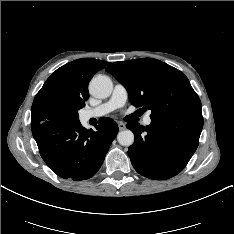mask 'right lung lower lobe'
Returning <instances> with one entry per match:
<instances>
[{
  "label": "right lung lower lobe",
  "instance_id": "right-lung-lower-lobe-1",
  "mask_svg": "<svg viewBox=\"0 0 234 234\" xmlns=\"http://www.w3.org/2000/svg\"><path fill=\"white\" fill-rule=\"evenodd\" d=\"M118 133V125L102 117L96 131L80 121L50 120L32 126V134L45 163L58 176L75 181L91 178L101 167Z\"/></svg>",
  "mask_w": 234,
  "mask_h": 234
}]
</instances>
